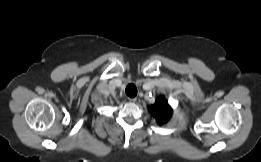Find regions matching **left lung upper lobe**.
Instances as JSON below:
<instances>
[{
    "label": "left lung upper lobe",
    "instance_id": "1",
    "mask_svg": "<svg viewBox=\"0 0 261 162\" xmlns=\"http://www.w3.org/2000/svg\"><path fill=\"white\" fill-rule=\"evenodd\" d=\"M149 111L159 124L168 122L172 115V109L163 97L157 98L155 104L149 107Z\"/></svg>",
    "mask_w": 261,
    "mask_h": 162
}]
</instances>
